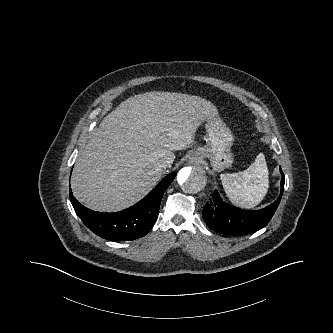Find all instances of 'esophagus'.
I'll list each match as a JSON object with an SVG mask.
<instances>
[{
    "instance_id": "obj_1",
    "label": "esophagus",
    "mask_w": 333,
    "mask_h": 333,
    "mask_svg": "<svg viewBox=\"0 0 333 333\" xmlns=\"http://www.w3.org/2000/svg\"><path fill=\"white\" fill-rule=\"evenodd\" d=\"M189 162L190 163H198V162H200V157L197 156V155H194L190 158Z\"/></svg>"
}]
</instances>
